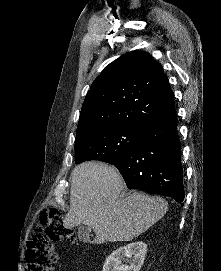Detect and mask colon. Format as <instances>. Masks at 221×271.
<instances>
[{"mask_svg": "<svg viewBox=\"0 0 221 271\" xmlns=\"http://www.w3.org/2000/svg\"><path fill=\"white\" fill-rule=\"evenodd\" d=\"M77 238H80V233L65 225L60 208L55 206L44 208L38 232L27 244L24 271H52L58 260L53 242L74 241Z\"/></svg>", "mask_w": 221, "mask_h": 271, "instance_id": "colon-1", "label": "colon"}]
</instances>
